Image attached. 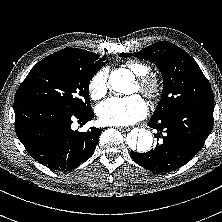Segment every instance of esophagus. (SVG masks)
I'll use <instances>...</instances> for the list:
<instances>
[{"mask_svg": "<svg viewBox=\"0 0 222 222\" xmlns=\"http://www.w3.org/2000/svg\"><path fill=\"white\" fill-rule=\"evenodd\" d=\"M119 129H120V131H122V132H127V131L130 130V128H128V127H120Z\"/></svg>", "mask_w": 222, "mask_h": 222, "instance_id": "esophagus-1", "label": "esophagus"}]
</instances>
